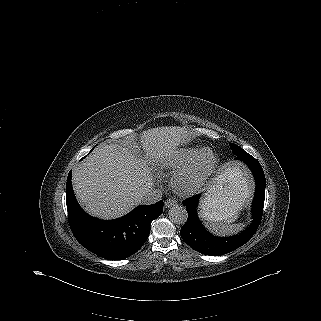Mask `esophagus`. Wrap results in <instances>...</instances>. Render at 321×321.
Here are the masks:
<instances>
[{"mask_svg":"<svg viewBox=\"0 0 321 321\" xmlns=\"http://www.w3.org/2000/svg\"><path fill=\"white\" fill-rule=\"evenodd\" d=\"M175 205H177V201L175 199H167L165 201V208H170Z\"/></svg>","mask_w":321,"mask_h":321,"instance_id":"esophagus-1","label":"esophagus"}]
</instances>
